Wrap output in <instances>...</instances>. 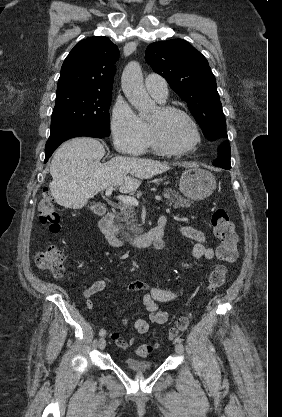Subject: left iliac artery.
Masks as SVG:
<instances>
[{"instance_id": "obj_1", "label": "left iliac artery", "mask_w": 282, "mask_h": 417, "mask_svg": "<svg viewBox=\"0 0 282 417\" xmlns=\"http://www.w3.org/2000/svg\"><path fill=\"white\" fill-rule=\"evenodd\" d=\"M176 342L181 343L182 342V339L180 337H177L176 338Z\"/></svg>"}]
</instances>
